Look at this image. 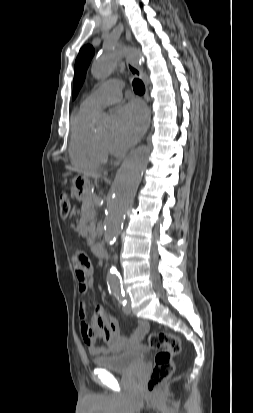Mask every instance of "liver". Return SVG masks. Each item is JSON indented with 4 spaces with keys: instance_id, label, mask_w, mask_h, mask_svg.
<instances>
[{
    "instance_id": "6515ba94",
    "label": "liver",
    "mask_w": 253,
    "mask_h": 413,
    "mask_svg": "<svg viewBox=\"0 0 253 413\" xmlns=\"http://www.w3.org/2000/svg\"><path fill=\"white\" fill-rule=\"evenodd\" d=\"M66 169L71 170V171H76V170H77L76 168H73V167H71V166H66ZM86 175L91 176V177H93V178H95V179H97V178L100 177L99 174H94V173H92V174H86Z\"/></svg>"
}]
</instances>
